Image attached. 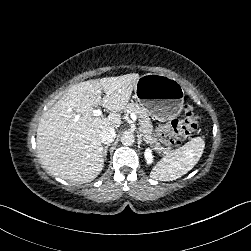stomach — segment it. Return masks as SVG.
<instances>
[{
  "label": "stomach",
  "mask_w": 251,
  "mask_h": 251,
  "mask_svg": "<svg viewBox=\"0 0 251 251\" xmlns=\"http://www.w3.org/2000/svg\"><path fill=\"white\" fill-rule=\"evenodd\" d=\"M133 90V97L139 104L158 119H170L182 109L184 90L176 79L168 75L143 74Z\"/></svg>",
  "instance_id": "0dacf381"
}]
</instances>
